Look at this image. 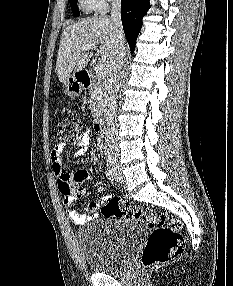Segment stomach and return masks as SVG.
<instances>
[{
    "mask_svg": "<svg viewBox=\"0 0 233 286\" xmlns=\"http://www.w3.org/2000/svg\"><path fill=\"white\" fill-rule=\"evenodd\" d=\"M64 92L67 95H73V92L70 90V83H69V81H65Z\"/></svg>",
    "mask_w": 233,
    "mask_h": 286,
    "instance_id": "1",
    "label": "stomach"
}]
</instances>
